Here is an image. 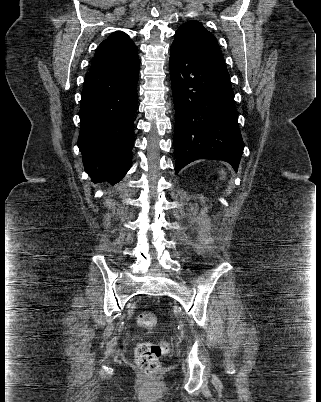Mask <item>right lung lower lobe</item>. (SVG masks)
<instances>
[{
    "mask_svg": "<svg viewBox=\"0 0 321 402\" xmlns=\"http://www.w3.org/2000/svg\"><path fill=\"white\" fill-rule=\"evenodd\" d=\"M139 65L89 71L81 94L78 147L93 182L116 183L132 159Z\"/></svg>",
    "mask_w": 321,
    "mask_h": 402,
    "instance_id": "98d812e1",
    "label": "right lung lower lobe"
}]
</instances>
